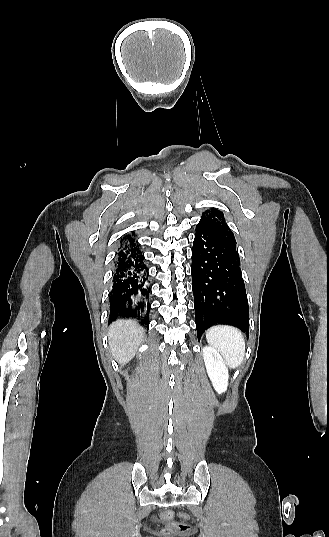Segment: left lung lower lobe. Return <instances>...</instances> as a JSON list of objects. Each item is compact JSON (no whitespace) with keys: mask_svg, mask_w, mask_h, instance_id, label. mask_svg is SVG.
<instances>
[{"mask_svg":"<svg viewBox=\"0 0 329 537\" xmlns=\"http://www.w3.org/2000/svg\"><path fill=\"white\" fill-rule=\"evenodd\" d=\"M191 259L198 339L217 324L236 326L248 336V299L236 242L200 221Z\"/></svg>","mask_w":329,"mask_h":537,"instance_id":"left-lung-lower-lobe-1","label":"left lung lower lobe"}]
</instances>
